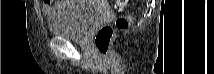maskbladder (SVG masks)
<instances>
[{"mask_svg":"<svg viewBox=\"0 0 214 74\" xmlns=\"http://www.w3.org/2000/svg\"><path fill=\"white\" fill-rule=\"evenodd\" d=\"M69 2V6L55 10L48 21L49 31L54 36L84 41L89 31L97 24L102 12L95 8L91 1Z\"/></svg>","mask_w":214,"mask_h":74,"instance_id":"bladder-1","label":"bladder"}]
</instances>
